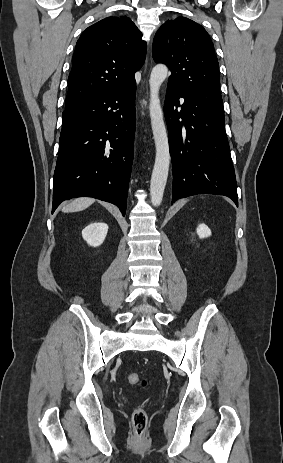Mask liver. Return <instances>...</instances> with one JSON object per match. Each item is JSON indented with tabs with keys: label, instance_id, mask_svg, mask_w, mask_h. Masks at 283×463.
<instances>
[{
	"label": "liver",
	"instance_id": "6515ba94",
	"mask_svg": "<svg viewBox=\"0 0 283 463\" xmlns=\"http://www.w3.org/2000/svg\"><path fill=\"white\" fill-rule=\"evenodd\" d=\"M93 198H87V197H82V198H77L68 205L64 206L62 208V211L64 213H69V212H78L82 211L86 208H88L90 205L94 203Z\"/></svg>",
	"mask_w": 283,
	"mask_h": 463
}]
</instances>
